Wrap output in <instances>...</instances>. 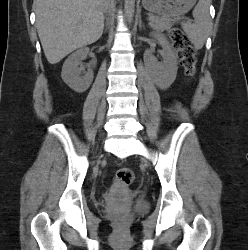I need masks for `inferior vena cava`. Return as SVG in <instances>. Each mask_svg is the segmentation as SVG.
Segmentation results:
<instances>
[{"mask_svg":"<svg viewBox=\"0 0 248 250\" xmlns=\"http://www.w3.org/2000/svg\"><path fill=\"white\" fill-rule=\"evenodd\" d=\"M108 10V3L105 2V12Z\"/></svg>","mask_w":248,"mask_h":250,"instance_id":"obj_1","label":"inferior vena cava"}]
</instances>
